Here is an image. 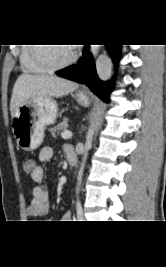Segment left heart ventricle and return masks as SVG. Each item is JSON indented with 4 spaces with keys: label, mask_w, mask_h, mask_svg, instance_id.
I'll use <instances>...</instances> for the list:
<instances>
[{
    "label": "left heart ventricle",
    "mask_w": 166,
    "mask_h": 267,
    "mask_svg": "<svg viewBox=\"0 0 166 267\" xmlns=\"http://www.w3.org/2000/svg\"><path fill=\"white\" fill-rule=\"evenodd\" d=\"M46 58L53 63H63L69 60L73 49L69 46H45L43 48Z\"/></svg>",
    "instance_id": "1"
}]
</instances>
